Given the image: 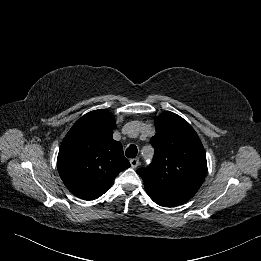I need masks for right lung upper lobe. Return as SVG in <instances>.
Masks as SVG:
<instances>
[{
  "label": "right lung upper lobe",
  "instance_id": "obj_1",
  "mask_svg": "<svg viewBox=\"0 0 261 261\" xmlns=\"http://www.w3.org/2000/svg\"><path fill=\"white\" fill-rule=\"evenodd\" d=\"M115 127L111 113L95 110L82 116L65 136L57 168L67 189L78 198L97 199L130 167L121 143L113 139Z\"/></svg>",
  "mask_w": 261,
  "mask_h": 261
}]
</instances>
